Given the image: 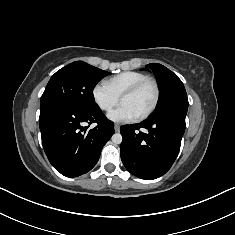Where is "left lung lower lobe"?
<instances>
[{
  "label": "left lung lower lobe",
  "mask_w": 235,
  "mask_h": 235,
  "mask_svg": "<svg viewBox=\"0 0 235 235\" xmlns=\"http://www.w3.org/2000/svg\"><path fill=\"white\" fill-rule=\"evenodd\" d=\"M186 114L169 112L139 124L123 125L121 159L133 175L152 180L164 175L174 163L185 131ZM141 128L148 133L140 131Z\"/></svg>",
  "instance_id": "obj_1"
}]
</instances>
